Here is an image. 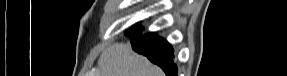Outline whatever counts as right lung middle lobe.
<instances>
[{"label": "right lung middle lobe", "instance_id": "1", "mask_svg": "<svg viewBox=\"0 0 287 76\" xmlns=\"http://www.w3.org/2000/svg\"><path fill=\"white\" fill-rule=\"evenodd\" d=\"M141 29H139V28H136V29H134V30H132V31H129L128 33H127V35H129V36H131V35H139L140 33H141Z\"/></svg>", "mask_w": 287, "mask_h": 76}]
</instances>
